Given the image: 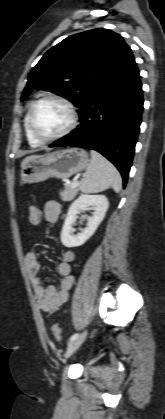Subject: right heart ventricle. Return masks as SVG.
I'll return each mask as SVG.
<instances>
[{
    "label": "right heart ventricle",
    "instance_id": "right-heart-ventricle-1",
    "mask_svg": "<svg viewBox=\"0 0 165 419\" xmlns=\"http://www.w3.org/2000/svg\"><path fill=\"white\" fill-rule=\"evenodd\" d=\"M24 130H25V134H26V138L28 143L33 146V147H37L40 145V142H38L30 133L29 128H28V112L26 113L25 117H24Z\"/></svg>",
    "mask_w": 165,
    "mask_h": 419
}]
</instances>
